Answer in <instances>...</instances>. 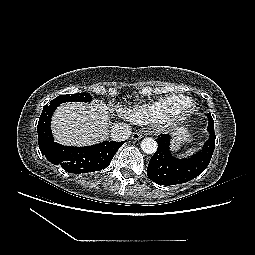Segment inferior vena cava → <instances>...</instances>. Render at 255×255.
<instances>
[{"label": "inferior vena cava", "mask_w": 255, "mask_h": 255, "mask_svg": "<svg viewBox=\"0 0 255 255\" xmlns=\"http://www.w3.org/2000/svg\"><path fill=\"white\" fill-rule=\"evenodd\" d=\"M131 126L125 123H115L111 127L110 137L114 141L127 140L131 135Z\"/></svg>", "instance_id": "602c4592"}]
</instances>
